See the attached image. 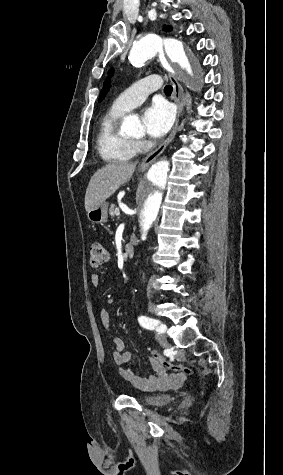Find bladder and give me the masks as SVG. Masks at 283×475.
I'll return each mask as SVG.
<instances>
[{"mask_svg": "<svg viewBox=\"0 0 283 475\" xmlns=\"http://www.w3.org/2000/svg\"><path fill=\"white\" fill-rule=\"evenodd\" d=\"M137 400L146 407H162L166 404H169L173 401L174 395L170 394H161V395H136Z\"/></svg>", "mask_w": 283, "mask_h": 475, "instance_id": "bladder-1", "label": "bladder"}]
</instances>
